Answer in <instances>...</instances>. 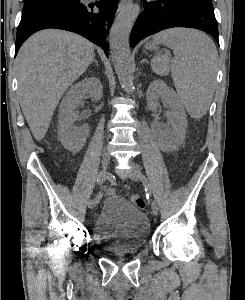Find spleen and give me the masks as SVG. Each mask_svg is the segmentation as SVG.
<instances>
[{"label":"spleen","instance_id":"3e777b00","mask_svg":"<svg viewBox=\"0 0 245 300\" xmlns=\"http://www.w3.org/2000/svg\"><path fill=\"white\" fill-rule=\"evenodd\" d=\"M153 40L170 47L175 55L172 62L165 56H155L151 61L153 72L164 76L171 70L181 103L192 117L201 118L213 97L218 62L214 43L205 34L184 28L162 31Z\"/></svg>","mask_w":245,"mask_h":300}]
</instances>
